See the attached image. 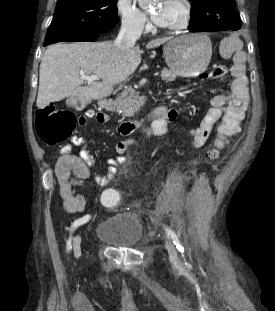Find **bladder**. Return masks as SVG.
<instances>
[{"label": "bladder", "mask_w": 275, "mask_h": 311, "mask_svg": "<svg viewBox=\"0 0 275 311\" xmlns=\"http://www.w3.org/2000/svg\"><path fill=\"white\" fill-rule=\"evenodd\" d=\"M97 238L116 248H135L142 244L144 228L138 213L123 211L101 220Z\"/></svg>", "instance_id": "bladder-1"}]
</instances>
